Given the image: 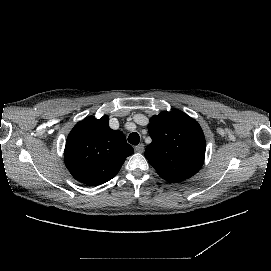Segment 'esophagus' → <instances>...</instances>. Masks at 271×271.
Returning <instances> with one entry per match:
<instances>
[{
    "label": "esophagus",
    "instance_id": "obj_1",
    "mask_svg": "<svg viewBox=\"0 0 271 271\" xmlns=\"http://www.w3.org/2000/svg\"><path fill=\"white\" fill-rule=\"evenodd\" d=\"M134 150L137 153H143L145 150V145L143 143H140L139 145L134 147Z\"/></svg>",
    "mask_w": 271,
    "mask_h": 271
}]
</instances>
